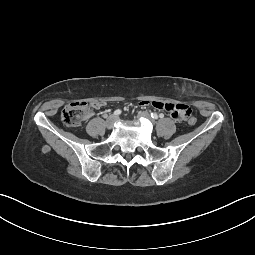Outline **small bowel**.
<instances>
[{"label": "small bowel", "instance_id": "1", "mask_svg": "<svg viewBox=\"0 0 255 255\" xmlns=\"http://www.w3.org/2000/svg\"><path fill=\"white\" fill-rule=\"evenodd\" d=\"M142 105H151L155 109L164 110L170 113L171 118L174 121H181L183 119H188L191 116V108L187 104H171L163 103L159 101H142ZM103 106L102 102H96L94 104L95 108H100Z\"/></svg>", "mask_w": 255, "mask_h": 255}]
</instances>
